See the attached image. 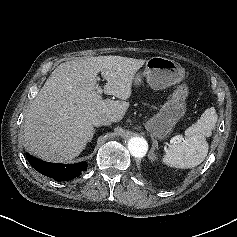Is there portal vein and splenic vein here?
Returning <instances> with one entry per match:
<instances>
[{
	"mask_svg": "<svg viewBox=\"0 0 237 237\" xmlns=\"http://www.w3.org/2000/svg\"><path fill=\"white\" fill-rule=\"evenodd\" d=\"M102 92H103L102 88H101V87H98V88H97V93H98V94H102Z\"/></svg>",
	"mask_w": 237,
	"mask_h": 237,
	"instance_id": "obj_1",
	"label": "portal vein and splenic vein"
}]
</instances>
